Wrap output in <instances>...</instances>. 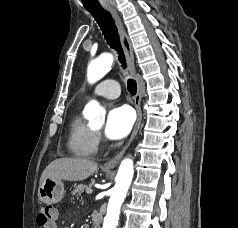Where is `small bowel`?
<instances>
[{
	"mask_svg": "<svg viewBox=\"0 0 238 228\" xmlns=\"http://www.w3.org/2000/svg\"><path fill=\"white\" fill-rule=\"evenodd\" d=\"M49 228H58L57 223L54 222Z\"/></svg>",
	"mask_w": 238,
	"mask_h": 228,
	"instance_id": "1",
	"label": "small bowel"
}]
</instances>
